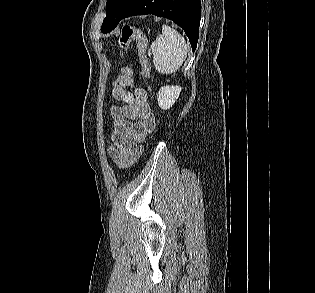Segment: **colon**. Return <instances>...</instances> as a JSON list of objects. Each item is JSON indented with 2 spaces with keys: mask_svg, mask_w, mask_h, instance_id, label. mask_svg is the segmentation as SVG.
<instances>
[{
  "mask_svg": "<svg viewBox=\"0 0 315 293\" xmlns=\"http://www.w3.org/2000/svg\"><path fill=\"white\" fill-rule=\"evenodd\" d=\"M134 40L137 42L138 47V56L140 61H142V75L144 78L149 79L151 72H150V65L147 61V37L145 36L144 32L140 29L133 28L131 26H124L120 34L118 36V44L120 48L124 51H127L130 42ZM135 80L132 78V69L128 65H123L121 67V76L120 78H115L113 82V88L111 92L113 94H119L120 92H125L126 89L128 90L131 85H134ZM127 87V88H126ZM142 152V148L138 147L133 155L123 163V168H128L133 165L138 158L140 157Z\"/></svg>",
  "mask_w": 315,
  "mask_h": 293,
  "instance_id": "5ec220e1",
  "label": "colon"
}]
</instances>
